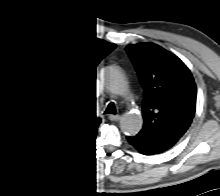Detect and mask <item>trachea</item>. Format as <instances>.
Masks as SVG:
<instances>
[{
    "instance_id": "1",
    "label": "trachea",
    "mask_w": 220,
    "mask_h": 196,
    "mask_svg": "<svg viewBox=\"0 0 220 196\" xmlns=\"http://www.w3.org/2000/svg\"><path fill=\"white\" fill-rule=\"evenodd\" d=\"M108 113H115V107L113 104H109L107 108Z\"/></svg>"
}]
</instances>
